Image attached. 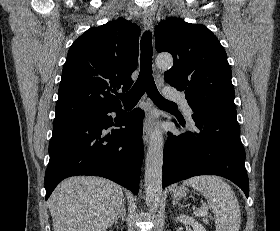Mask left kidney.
Returning <instances> with one entry per match:
<instances>
[{"instance_id":"1","label":"left kidney","mask_w":280,"mask_h":231,"mask_svg":"<svg viewBox=\"0 0 280 231\" xmlns=\"http://www.w3.org/2000/svg\"><path fill=\"white\" fill-rule=\"evenodd\" d=\"M176 221H182V223L192 225L193 231H206L202 223H198V221H195V219H193V217H189V215H178V217H176Z\"/></svg>"}]
</instances>
